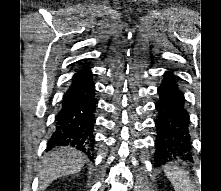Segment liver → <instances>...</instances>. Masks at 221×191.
<instances>
[{"instance_id": "6515ba94", "label": "liver", "mask_w": 221, "mask_h": 191, "mask_svg": "<svg viewBox=\"0 0 221 191\" xmlns=\"http://www.w3.org/2000/svg\"><path fill=\"white\" fill-rule=\"evenodd\" d=\"M85 163V157L71 147H61L51 152L43 161L39 170L40 188L45 189L57 178L79 172Z\"/></svg>"}]
</instances>
